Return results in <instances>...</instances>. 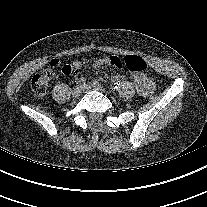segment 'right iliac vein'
I'll list each match as a JSON object with an SVG mask.
<instances>
[{"instance_id": "1", "label": "right iliac vein", "mask_w": 207, "mask_h": 207, "mask_svg": "<svg viewBox=\"0 0 207 207\" xmlns=\"http://www.w3.org/2000/svg\"><path fill=\"white\" fill-rule=\"evenodd\" d=\"M81 93H82V89H81V86H79V85H76L72 90V96L74 98L79 97L81 95Z\"/></svg>"}]
</instances>
